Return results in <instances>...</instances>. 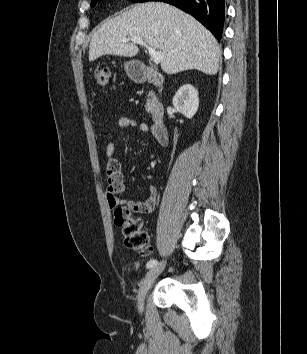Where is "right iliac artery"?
Returning <instances> with one entry per match:
<instances>
[{"mask_svg":"<svg viewBox=\"0 0 307 354\" xmlns=\"http://www.w3.org/2000/svg\"><path fill=\"white\" fill-rule=\"evenodd\" d=\"M157 264H158V261L156 259H151L147 262L146 268L147 269L154 268L157 266Z\"/></svg>","mask_w":307,"mask_h":354,"instance_id":"1","label":"right iliac artery"}]
</instances>
